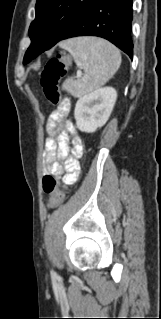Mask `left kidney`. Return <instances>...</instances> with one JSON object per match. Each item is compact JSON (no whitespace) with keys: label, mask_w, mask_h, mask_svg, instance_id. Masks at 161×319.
<instances>
[{"label":"left kidney","mask_w":161,"mask_h":319,"mask_svg":"<svg viewBox=\"0 0 161 319\" xmlns=\"http://www.w3.org/2000/svg\"><path fill=\"white\" fill-rule=\"evenodd\" d=\"M117 92L112 87L97 89L81 97L75 106L76 125L82 132L93 133L110 117Z\"/></svg>","instance_id":"left-kidney-1"}]
</instances>
